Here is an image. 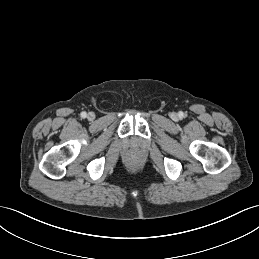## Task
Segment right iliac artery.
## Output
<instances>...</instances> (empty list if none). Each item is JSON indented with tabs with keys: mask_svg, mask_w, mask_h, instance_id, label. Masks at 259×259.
<instances>
[{
	"mask_svg": "<svg viewBox=\"0 0 259 259\" xmlns=\"http://www.w3.org/2000/svg\"><path fill=\"white\" fill-rule=\"evenodd\" d=\"M80 115H81V117H82V118H86L87 113H86V112H81V114H80Z\"/></svg>",
	"mask_w": 259,
	"mask_h": 259,
	"instance_id": "right-iliac-artery-1",
	"label": "right iliac artery"
}]
</instances>
